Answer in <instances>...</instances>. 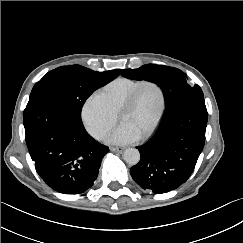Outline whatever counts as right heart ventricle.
<instances>
[{"label":"right heart ventricle","mask_w":243,"mask_h":243,"mask_svg":"<svg viewBox=\"0 0 243 243\" xmlns=\"http://www.w3.org/2000/svg\"><path fill=\"white\" fill-rule=\"evenodd\" d=\"M142 81L126 77L117 78L101 88L98 93L111 111L117 114L133 89Z\"/></svg>","instance_id":"obj_1"}]
</instances>
